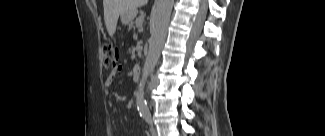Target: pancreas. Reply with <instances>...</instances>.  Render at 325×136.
<instances>
[{
    "instance_id": "pancreas-1",
    "label": "pancreas",
    "mask_w": 325,
    "mask_h": 136,
    "mask_svg": "<svg viewBox=\"0 0 325 136\" xmlns=\"http://www.w3.org/2000/svg\"><path fill=\"white\" fill-rule=\"evenodd\" d=\"M135 25V22L133 23V22H131V23H129V26H131V27H133ZM128 32L129 33H132L133 32V29L132 28H129L128 29ZM132 37L134 38V39H137L138 37H139V34L137 33V32H134L133 34H132ZM139 47V46H138Z\"/></svg>"
}]
</instances>
